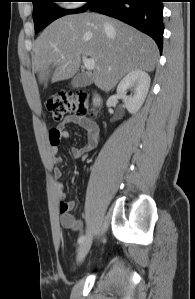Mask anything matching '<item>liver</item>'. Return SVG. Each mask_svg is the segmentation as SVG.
Returning a JSON list of instances; mask_svg holds the SVG:
<instances>
[{"label": "liver", "mask_w": 195, "mask_h": 299, "mask_svg": "<svg viewBox=\"0 0 195 299\" xmlns=\"http://www.w3.org/2000/svg\"><path fill=\"white\" fill-rule=\"evenodd\" d=\"M108 24L109 27H105ZM33 72L40 83L72 78L81 65V57L95 60L92 81L109 91L133 70H154L158 47L153 39L135 28L96 13L67 15L44 29L33 46Z\"/></svg>", "instance_id": "1"}]
</instances>
